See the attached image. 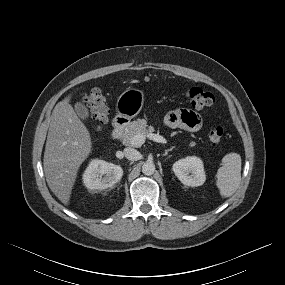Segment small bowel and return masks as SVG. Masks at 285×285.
<instances>
[{"label": "small bowel", "mask_w": 285, "mask_h": 285, "mask_svg": "<svg viewBox=\"0 0 285 285\" xmlns=\"http://www.w3.org/2000/svg\"><path fill=\"white\" fill-rule=\"evenodd\" d=\"M164 123L171 128L196 132L202 127V118L194 111L178 109L168 113L164 118Z\"/></svg>", "instance_id": "c3829d8e"}]
</instances>
